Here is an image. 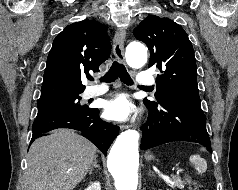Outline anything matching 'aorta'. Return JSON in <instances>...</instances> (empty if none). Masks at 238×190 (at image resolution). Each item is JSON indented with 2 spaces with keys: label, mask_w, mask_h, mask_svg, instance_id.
I'll list each match as a JSON object with an SVG mask.
<instances>
[{
  "label": "aorta",
  "mask_w": 238,
  "mask_h": 190,
  "mask_svg": "<svg viewBox=\"0 0 238 190\" xmlns=\"http://www.w3.org/2000/svg\"><path fill=\"white\" fill-rule=\"evenodd\" d=\"M127 63L140 68L147 62V49L138 41L131 42L126 49ZM139 133L128 129L116 139L108 156V169L115 180L116 190H137Z\"/></svg>",
  "instance_id": "1"
}]
</instances>
